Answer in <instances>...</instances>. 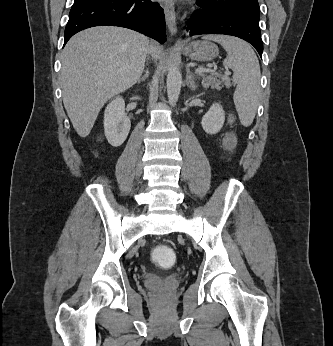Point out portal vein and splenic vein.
I'll return each instance as SVG.
<instances>
[{
  "mask_svg": "<svg viewBox=\"0 0 333 346\" xmlns=\"http://www.w3.org/2000/svg\"><path fill=\"white\" fill-rule=\"evenodd\" d=\"M196 72H198V73H213V72H215V69H206V68H203V67H199V68H197L196 69ZM225 74L226 75H230V72L227 70L226 72H225Z\"/></svg>",
  "mask_w": 333,
  "mask_h": 346,
  "instance_id": "portal-vein-and-splenic-vein-1",
  "label": "portal vein and splenic vein"
}]
</instances>
